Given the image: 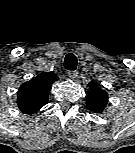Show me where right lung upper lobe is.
<instances>
[{"mask_svg":"<svg viewBox=\"0 0 135 153\" xmlns=\"http://www.w3.org/2000/svg\"><path fill=\"white\" fill-rule=\"evenodd\" d=\"M58 77L52 72H42L21 85L18 90V106L23 113L33 114L48 102V93Z\"/></svg>","mask_w":135,"mask_h":153,"instance_id":"cb5924a9","label":"right lung upper lobe"}]
</instances>
